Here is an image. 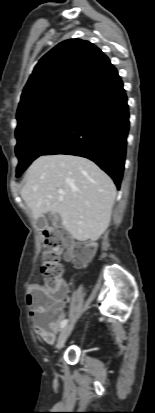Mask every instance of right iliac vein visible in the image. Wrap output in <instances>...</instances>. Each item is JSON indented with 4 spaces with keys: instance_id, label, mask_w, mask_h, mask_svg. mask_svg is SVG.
I'll return each instance as SVG.
<instances>
[{
    "instance_id": "1",
    "label": "right iliac vein",
    "mask_w": 155,
    "mask_h": 413,
    "mask_svg": "<svg viewBox=\"0 0 155 413\" xmlns=\"http://www.w3.org/2000/svg\"><path fill=\"white\" fill-rule=\"evenodd\" d=\"M73 328H74V323H70L62 329V331L59 334L58 341H57V346H56L57 350H60L63 347L66 339L72 332Z\"/></svg>"
}]
</instances>
